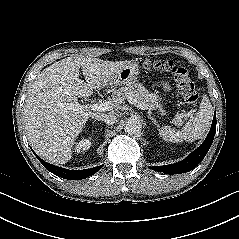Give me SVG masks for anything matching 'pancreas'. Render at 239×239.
Instances as JSON below:
<instances>
[{
    "instance_id": "pancreas-1",
    "label": "pancreas",
    "mask_w": 239,
    "mask_h": 239,
    "mask_svg": "<svg viewBox=\"0 0 239 239\" xmlns=\"http://www.w3.org/2000/svg\"><path fill=\"white\" fill-rule=\"evenodd\" d=\"M130 98L137 100L139 103L144 104L148 109H155L157 107L158 99L154 94H150L146 88L141 84H133L123 86L117 90H113L112 93V102L115 105H119L125 100ZM182 120H179L177 125H181Z\"/></svg>"
}]
</instances>
